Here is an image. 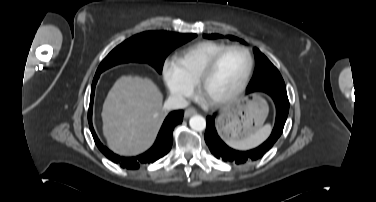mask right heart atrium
I'll return each mask as SVG.
<instances>
[{"mask_svg": "<svg viewBox=\"0 0 376 202\" xmlns=\"http://www.w3.org/2000/svg\"><path fill=\"white\" fill-rule=\"evenodd\" d=\"M162 76L167 92L178 101H185L193 96L194 85L185 79L174 59L163 62Z\"/></svg>", "mask_w": 376, "mask_h": 202, "instance_id": "1", "label": "right heart atrium"}]
</instances>
